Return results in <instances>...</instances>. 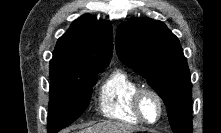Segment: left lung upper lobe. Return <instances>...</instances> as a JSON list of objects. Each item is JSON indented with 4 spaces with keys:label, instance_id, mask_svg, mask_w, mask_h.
Returning <instances> with one entry per match:
<instances>
[{
    "label": "left lung upper lobe",
    "instance_id": "5c2ea615",
    "mask_svg": "<svg viewBox=\"0 0 221 133\" xmlns=\"http://www.w3.org/2000/svg\"><path fill=\"white\" fill-rule=\"evenodd\" d=\"M119 59L143 76L163 99L174 133H192V84L177 37L161 21H128L116 36Z\"/></svg>",
    "mask_w": 221,
    "mask_h": 133
}]
</instances>
